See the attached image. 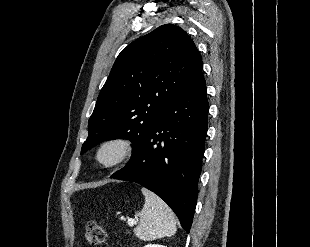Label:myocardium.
<instances>
[{
    "label": "myocardium",
    "instance_id": "1",
    "mask_svg": "<svg viewBox=\"0 0 310 247\" xmlns=\"http://www.w3.org/2000/svg\"><path fill=\"white\" fill-rule=\"evenodd\" d=\"M108 148H114L117 156L110 162L102 160V152ZM134 141L127 136H115L105 140L97 149L96 160L104 168H115L127 162L134 154Z\"/></svg>",
    "mask_w": 310,
    "mask_h": 247
}]
</instances>
